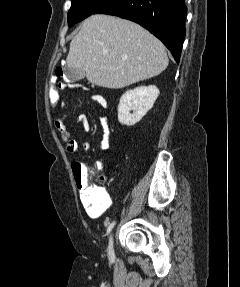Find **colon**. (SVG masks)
<instances>
[{"mask_svg": "<svg viewBox=\"0 0 240 287\" xmlns=\"http://www.w3.org/2000/svg\"><path fill=\"white\" fill-rule=\"evenodd\" d=\"M63 75L62 69L58 68L51 78V85L49 87L47 95V103L50 109V113L54 124H58L61 120L65 118L64 108L65 102L61 96V91L66 88H80L78 84H71L59 80ZM73 172L77 180V184L80 190L85 193H89L92 187L88 185V171L87 169L80 165V163H75L73 165Z\"/></svg>", "mask_w": 240, "mask_h": 287, "instance_id": "5ec220e1", "label": "colon"}]
</instances>
